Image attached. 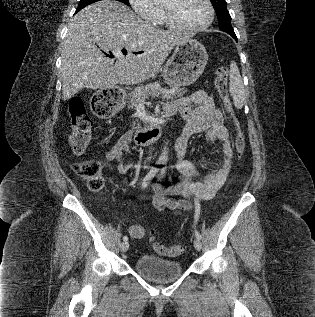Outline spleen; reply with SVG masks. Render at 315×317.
Returning a JSON list of instances; mask_svg holds the SVG:
<instances>
[{"instance_id": "obj_1", "label": "spleen", "mask_w": 315, "mask_h": 317, "mask_svg": "<svg viewBox=\"0 0 315 317\" xmlns=\"http://www.w3.org/2000/svg\"><path fill=\"white\" fill-rule=\"evenodd\" d=\"M230 83L229 89L233 97L234 106L237 109H241L244 106L246 97L245 87L239 72V69L234 61L230 64Z\"/></svg>"}]
</instances>
